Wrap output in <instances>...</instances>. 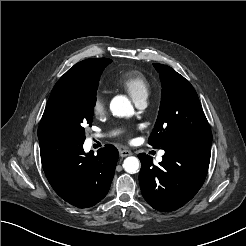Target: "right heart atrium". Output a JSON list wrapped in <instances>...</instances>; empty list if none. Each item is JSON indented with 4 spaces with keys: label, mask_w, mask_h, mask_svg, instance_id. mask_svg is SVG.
Here are the masks:
<instances>
[{
    "label": "right heart atrium",
    "mask_w": 246,
    "mask_h": 246,
    "mask_svg": "<svg viewBox=\"0 0 246 246\" xmlns=\"http://www.w3.org/2000/svg\"><path fill=\"white\" fill-rule=\"evenodd\" d=\"M107 110V100L102 93H97L95 95L92 111L96 117L103 116Z\"/></svg>",
    "instance_id": "obj_1"
}]
</instances>
